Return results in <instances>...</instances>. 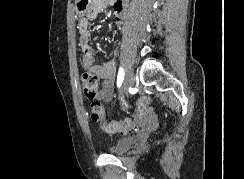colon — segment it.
I'll use <instances>...</instances> for the list:
<instances>
[{"instance_id": "obj_1", "label": "colon", "mask_w": 244, "mask_h": 179, "mask_svg": "<svg viewBox=\"0 0 244 179\" xmlns=\"http://www.w3.org/2000/svg\"><path fill=\"white\" fill-rule=\"evenodd\" d=\"M81 83L86 98L89 97L90 93H93L95 97V94L100 86L99 77L92 74L89 71H83L81 76ZM150 103H153L152 95H145L144 98H139V102H133V107L135 109L133 111V114L137 115L138 114L137 110H148ZM90 114H91V119L95 123L101 124L103 129L109 133H122L131 130L133 128V121L131 119H128L126 121L108 122L106 120V110L104 106L99 101L96 100L94 102V106H90ZM167 124L171 125L172 121L168 120Z\"/></svg>"}]
</instances>
